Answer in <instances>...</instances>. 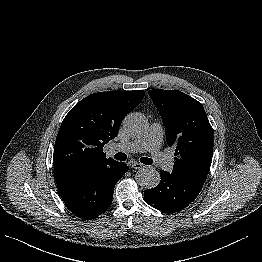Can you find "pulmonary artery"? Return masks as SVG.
Masks as SVG:
<instances>
[{"label":"pulmonary artery","instance_id":"1","mask_svg":"<svg viewBox=\"0 0 262 262\" xmlns=\"http://www.w3.org/2000/svg\"><path fill=\"white\" fill-rule=\"evenodd\" d=\"M162 136V126L155 122L151 124L149 130L142 138L127 143H117L113 148L128 153L149 151L161 169L169 170L171 162L166 154L160 151Z\"/></svg>","mask_w":262,"mask_h":262}]
</instances>
